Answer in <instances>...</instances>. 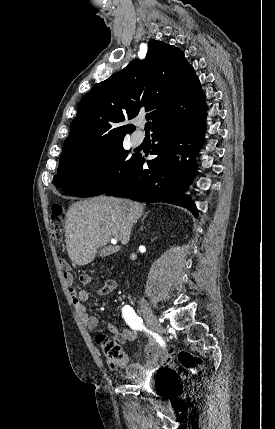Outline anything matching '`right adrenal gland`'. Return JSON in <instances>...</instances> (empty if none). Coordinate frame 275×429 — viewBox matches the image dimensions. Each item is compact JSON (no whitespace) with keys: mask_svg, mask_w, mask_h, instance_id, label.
Wrapping results in <instances>:
<instances>
[{"mask_svg":"<svg viewBox=\"0 0 275 429\" xmlns=\"http://www.w3.org/2000/svg\"><path fill=\"white\" fill-rule=\"evenodd\" d=\"M148 213H149V211H148V212H146V213L143 215V217H142V219H141L142 223H143L144 219L146 218V216L148 215Z\"/></svg>","mask_w":275,"mask_h":429,"instance_id":"obj_1","label":"right adrenal gland"}]
</instances>
